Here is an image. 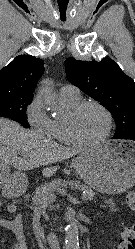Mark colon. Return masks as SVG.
Returning a JSON list of instances; mask_svg holds the SVG:
<instances>
[{"label": "colon", "instance_id": "5ec220e1", "mask_svg": "<svg viewBox=\"0 0 135 249\" xmlns=\"http://www.w3.org/2000/svg\"><path fill=\"white\" fill-rule=\"evenodd\" d=\"M127 204L135 212V191L128 193ZM118 249H135V224L124 228L118 243Z\"/></svg>", "mask_w": 135, "mask_h": 249}]
</instances>
